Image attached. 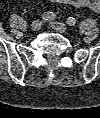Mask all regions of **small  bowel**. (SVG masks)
<instances>
[{"label": "small bowel", "mask_w": 100, "mask_h": 118, "mask_svg": "<svg viewBox=\"0 0 100 118\" xmlns=\"http://www.w3.org/2000/svg\"><path fill=\"white\" fill-rule=\"evenodd\" d=\"M53 3L69 4L77 8H89L93 12H100V0H50Z\"/></svg>", "instance_id": "c3829d8e"}]
</instances>
